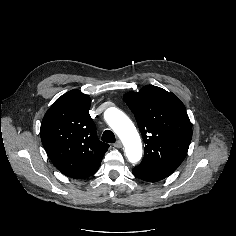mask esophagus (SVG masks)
Returning <instances> with one entry per match:
<instances>
[{
  "label": "esophagus",
  "mask_w": 236,
  "mask_h": 236,
  "mask_svg": "<svg viewBox=\"0 0 236 236\" xmlns=\"http://www.w3.org/2000/svg\"><path fill=\"white\" fill-rule=\"evenodd\" d=\"M122 146L123 145H122V142L120 140H118L114 143V147H116V148H122Z\"/></svg>",
  "instance_id": "obj_1"
}]
</instances>
